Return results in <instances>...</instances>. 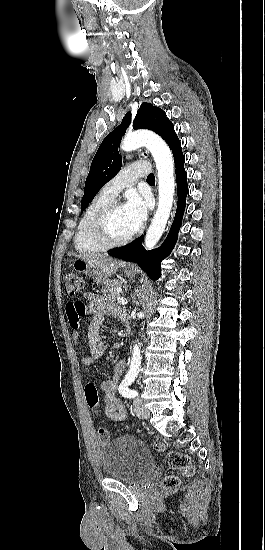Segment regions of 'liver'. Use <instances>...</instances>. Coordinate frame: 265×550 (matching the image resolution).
I'll list each match as a JSON object with an SVG mask.
<instances>
[{
  "mask_svg": "<svg viewBox=\"0 0 265 550\" xmlns=\"http://www.w3.org/2000/svg\"><path fill=\"white\" fill-rule=\"evenodd\" d=\"M80 258L95 266L104 275H112L125 265L122 261L112 259L103 254H86L80 256Z\"/></svg>",
  "mask_w": 265,
  "mask_h": 550,
  "instance_id": "obj_1",
  "label": "liver"
}]
</instances>
